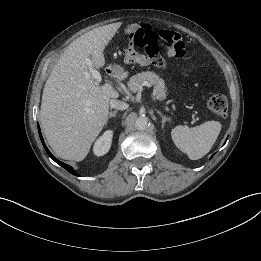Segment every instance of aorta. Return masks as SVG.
<instances>
[{
  "instance_id": "762f6f07",
  "label": "aorta",
  "mask_w": 261,
  "mask_h": 261,
  "mask_svg": "<svg viewBox=\"0 0 261 261\" xmlns=\"http://www.w3.org/2000/svg\"><path fill=\"white\" fill-rule=\"evenodd\" d=\"M149 120L146 116H140L135 120V127L138 130H146Z\"/></svg>"
}]
</instances>
